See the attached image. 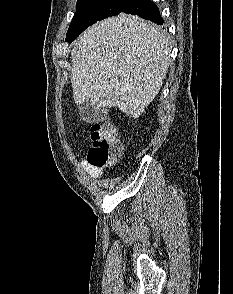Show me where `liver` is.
I'll use <instances>...</instances> for the list:
<instances>
[{
	"instance_id": "6515ba94",
	"label": "liver",
	"mask_w": 233,
	"mask_h": 294,
	"mask_svg": "<svg viewBox=\"0 0 233 294\" xmlns=\"http://www.w3.org/2000/svg\"><path fill=\"white\" fill-rule=\"evenodd\" d=\"M163 30L138 16L119 14L101 21L73 44L71 84L77 105L118 107L137 118L163 85L171 62Z\"/></svg>"
}]
</instances>
